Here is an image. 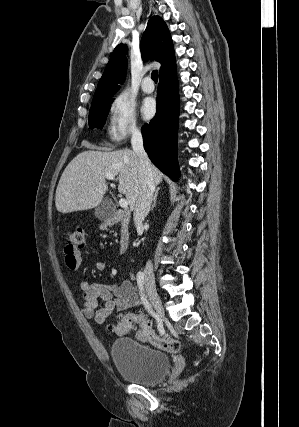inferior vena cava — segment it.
Here are the masks:
<instances>
[{
	"label": "inferior vena cava",
	"mask_w": 299,
	"mask_h": 427,
	"mask_svg": "<svg viewBox=\"0 0 299 427\" xmlns=\"http://www.w3.org/2000/svg\"><path fill=\"white\" fill-rule=\"evenodd\" d=\"M131 145L137 155L140 175V188L138 198L134 207L133 220L136 227H142L143 221L150 211L155 191V184L152 176L151 163L144 150L143 137L139 129L132 130ZM147 275L153 274V265L148 261L145 267Z\"/></svg>",
	"instance_id": "inferior-vena-cava-1"
}]
</instances>
